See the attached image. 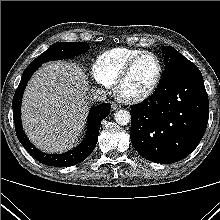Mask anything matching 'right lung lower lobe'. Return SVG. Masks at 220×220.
<instances>
[{"instance_id": "obj_1", "label": "right lung lower lobe", "mask_w": 220, "mask_h": 220, "mask_svg": "<svg viewBox=\"0 0 220 220\" xmlns=\"http://www.w3.org/2000/svg\"><path fill=\"white\" fill-rule=\"evenodd\" d=\"M41 65L30 64L24 71L19 86L13 97V115L15 122V130L18 140L23 145V147L39 162L56 167H67L76 165L83 160H85L93 151L96 146L99 129L101 121L106 118L110 113L111 105L109 103H104L96 106L90 110L87 124V134L85 139L77 146L75 149L63 153V154H45L37 149L30 141L27 139L21 124V102L23 92L27 85L28 80L32 74Z\"/></svg>"}]
</instances>
